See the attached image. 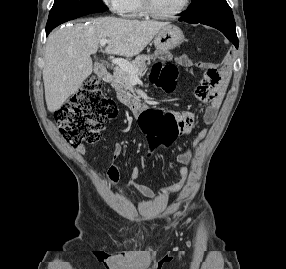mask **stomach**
I'll list each match as a JSON object with an SVG mask.
<instances>
[{"label": "stomach", "instance_id": "0dacf381", "mask_svg": "<svg viewBox=\"0 0 286 269\" xmlns=\"http://www.w3.org/2000/svg\"><path fill=\"white\" fill-rule=\"evenodd\" d=\"M184 41V35L181 29L175 25H167L163 27L154 38L156 49L172 50Z\"/></svg>", "mask_w": 286, "mask_h": 269}]
</instances>
